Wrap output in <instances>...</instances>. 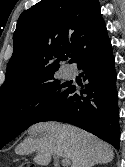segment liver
<instances>
[{"label": "liver", "instance_id": "obj_1", "mask_svg": "<svg viewBox=\"0 0 125 167\" xmlns=\"http://www.w3.org/2000/svg\"><path fill=\"white\" fill-rule=\"evenodd\" d=\"M28 133L29 136L15 148V153L36 152L33 161L41 166H47L52 155L68 158L71 167H92L109 163L114 158L109 144L75 126L44 122L31 126Z\"/></svg>", "mask_w": 125, "mask_h": 167}]
</instances>
